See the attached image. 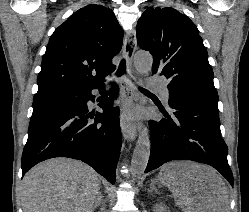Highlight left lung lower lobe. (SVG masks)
<instances>
[{
    "label": "left lung lower lobe",
    "instance_id": "obj_1",
    "mask_svg": "<svg viewBox=\"0 0 249 212\" xmlns=\"http://www.w3.org/2000/svg\"><path fill=\"white\" fill-rule=\"evenodd\" d=\"M167 119L149 121L151 153L145 172L172 160H191L217 169L233 186L228 148L220 131L218 101L195 93L169 90Z\"/></svg>",
    "mask_w": 249,
    "mask_h": 212
}]
</instances>
